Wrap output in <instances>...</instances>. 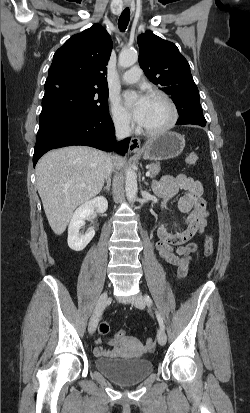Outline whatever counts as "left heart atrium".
<instances>
[{"instance_id":"39dd6f15","label":"left heart atrium","mask_w":250,"mask_h":413,"mask_svg":"<svg viewBox=\"0 0 250 413\" xmlns=\"http://www.w3.org/2000/svg\"><path fill=\"white\" fill-rule=\"evenodd\" d=\"M127 105L131 108L132 114L137 122H143L146 109L149 103V97L144 94L136 95L134 93H127L125 97Z\"/></svg>"}]
</instances>
